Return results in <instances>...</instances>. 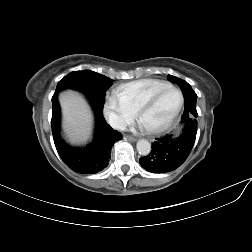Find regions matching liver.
I'll list each match as a JSON object with an SVG mask.
<instances>
[{
	"instance_id": "1",
	"label": "liver",
	"mask_w": 252,
	"mask_h": 252,
	"mask_svg": "<svg viewBox=\"0 0 252 252\" xmlns=\"http://www.w3.org/2000/svg\"><path fill=\"white\" fill-rule=\"evenodd\" d=\"M63 110V128L72 143L86 141L91 133L92 114L82 95L66 91L59 98Z\"/></svg>"
}]
</instances>
